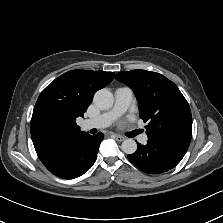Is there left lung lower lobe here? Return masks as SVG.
Instances as JSON below:
<instances>
[{
    "label": "left lung lower lobe",
    "instance_id": "left-lung-lower-lobe-1",
    "mask_svg": "<svg viewBox=\"0 0 223 223\" xmlns=\"http://www.w3.org/2000/svg\"><path fill=\"white\" fill-rule=\"evenodd\" d=\"M137 151L128 155L129 160L145 173L159 174L175 167L185 151L149 140L146 145L137 143Z\"/></svg>",
    "mask_w": 223,
    "mask_h": 223
}]
</instances>
